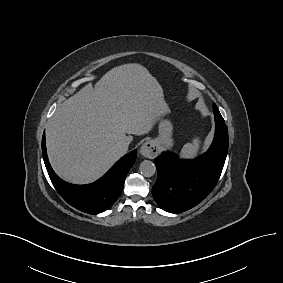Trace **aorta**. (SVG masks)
<instances>
[{"instance_id":"1","label":"aorta","mask_w":283,"mask_h":283,"mask_svg":"<svg viewBox=\"0 0 283 283\" xmlns=\"http://www.w3.org/2000/svg\"><path fill=\"white\" fill-rule=\"evenodd\" d=\"M139 170L144 177H151L155 174L156 167L152 161L144 160L141 162Z\"/></svg>"}]
</instances>
